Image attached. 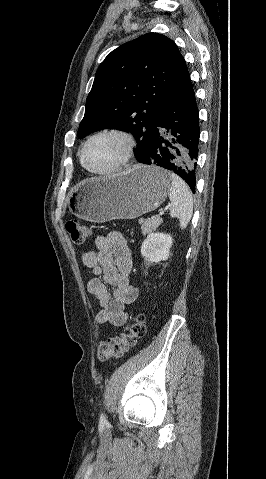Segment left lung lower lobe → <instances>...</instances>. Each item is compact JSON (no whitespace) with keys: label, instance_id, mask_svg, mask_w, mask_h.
I'll list each match as a JSON object with an SVG mask.
<instances>
[{"label":"left lung lower lobe","instance_id":"obj_1","mask_svg":"<svg viewBox=\"0 0 266 479\" xmlns=\"http://www.w3.org/2000/svg\"><path fill=\"white\" fill-rule=\"evenodd\" d=\"M199 137L198 108L188 73L162 108L150 147L140 163L176 173L195 193Z\"/></svg>","mask_w":266,"mask_h":479}]
</instances>
